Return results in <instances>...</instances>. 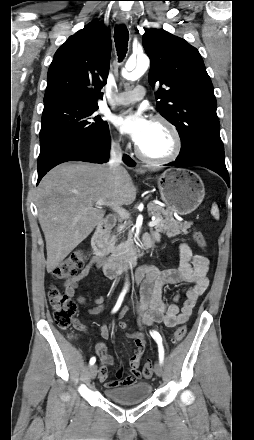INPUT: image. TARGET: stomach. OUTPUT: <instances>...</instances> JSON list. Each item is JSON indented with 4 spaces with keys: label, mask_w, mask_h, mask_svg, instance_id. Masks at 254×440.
I'll return each mask as SVG.
<instances>
[{
    "label": "stomach",
    "mask_w": 254,
    "mask_h": 440,
    "mask_svg": "<svg viewBox=\"0 0 254 440\" xmlns=\"http://www.w3.org/2000/svg\"><path fill=\"white\" fill-rule=\"evenodd\" d=\"M157 183L167 210L181 216L195 211L205 196L202 179L188 169H168L157 178Z\"/></svg>",
    "instance_id": "0dacf381"
}]
</instances>
